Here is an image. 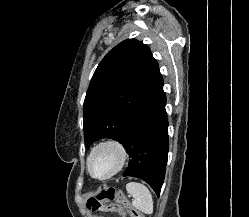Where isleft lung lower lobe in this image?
<instances>
[{"label":"left lung lower lobe","instance_id":"obj_1","mask_svg":"<svg viewBox=\"0 0 249 217\" xmlns=\"http://www.w3.org/2000/svg\"><path fill=\"white\" fill-rule=\"evenodd\" d=\"M165 105L161 76L127 115L119 141L131 158L123 176L144 180L157 196L164 181L169 149Z\"/></svg>","mask_w":249,"mask_h":217}]
</instances>
